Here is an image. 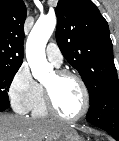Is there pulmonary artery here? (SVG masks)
Returning a JSON list of instances; mask_svg holds the SVG:
<instances>
[{"label":"pulmonary artery","mask_w":119,"mask_h":141,"mask_svg":"<svg viewBox=\"0 0 119 141\" xmlns=\"http://www.w3.org/2000/svg\"><path fill=\"white\" fill-rule=\"evenodd\" d=\"M46 57L56 67H60L63 63V56L60 49L55 43H49L46 47Z\"/></svg>","instance_id":"obj_1"}]
</instances>
